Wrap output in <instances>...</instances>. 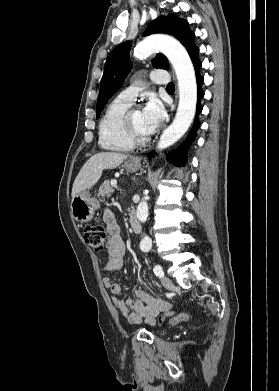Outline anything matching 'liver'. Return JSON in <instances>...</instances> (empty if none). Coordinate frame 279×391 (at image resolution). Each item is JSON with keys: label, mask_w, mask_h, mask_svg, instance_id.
<instances>
[{"label": "liver", "mask_w": 279, "mask_h": 391, "mask_svg": "<svg viewBox=\"0 0 279 391\" xmlns=\"http://www.w3.org/2000/svg\"><path fill=\"white\" fill-rule=\"evenodd\" d=\"M128 156L115 152H101L93 155L83 165L72 188V199L80 192L95 185L104 169L117 168Z\"/></svg>", "instance_id": "6515ba94"}]
</instances>
